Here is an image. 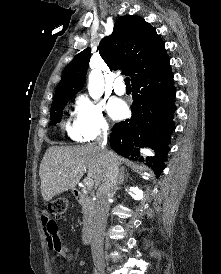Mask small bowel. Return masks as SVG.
<instances>
[{
  "label": "small bowel",
  "instance_id": "c3829d8e",
  "mask_svg": "<svg viewBox=\"0 0 221 274\" xmlns=\"http://www.w3.org/2000/svg\"><path fill=\"white\" fill-rule=\"evenodd\" d=\"M41 224L48 249L55 252L58 257H64L65 252L58 236V226L55 219L45 211L41 214ZM83 263V261L79 262L80 265Z\"/></svg>",
  "mask_w": 221,
  "mask_h": 274
}]
</instances>
